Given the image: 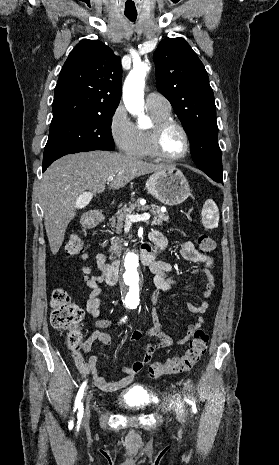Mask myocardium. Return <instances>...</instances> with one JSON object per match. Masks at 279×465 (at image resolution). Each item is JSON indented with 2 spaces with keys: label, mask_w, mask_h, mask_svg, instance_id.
Here are the masks:
<instances>
[{
  "label": "myocardium",
  "mask_w": 279,
  "mask_h": 465,
  "mask_svg": "<svg viewBox=\"0 0 279 465\" xmlns=\"http://www.w3.org/2000/svg\"><path fill=\"white\" fill-rule=\"evenodd\" d=\"M170 126L177 127L180 132L182 133L183 140H184V147L181 153L169 156L164 154L160 148V138L165 129ZM149 147L152 155L160 160L167 161V162H175L184 159L190 150V137L185 128V126L172 118H166L153 123L151 128L149 129Z\"/></svg>",
  "instance_id": "myocardium-1"
}]
</instances>
